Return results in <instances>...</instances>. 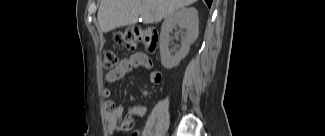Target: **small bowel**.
Instances as JSON below:
<instances>
[{
  "instance_id": "small-bowel-1",
  "label": "small bowel",
  "mask_w": 325,
  "mask_h": 136,
  "mask_svg": "<svg viewBox=\"0 0 325 136\" xmlns=\"http://www.w3.org/2000/svg\"><path fill=\"white\" fill-rule=\"evenodd\" d=\"M142 67L150 71L149 81L153 84H159L162 79L160 71L154 69L152 59L144 52H135L127 58H123L119 65L106 74V80L109 83H115L122 79L126 74L135 68ZM106 95L110 92L105 91ZM107 130L110 134L129 131L134 125V117H143L146 114V108L142 105H135L128 115H125L123 105H117L109 100L105 103Z\"/></svg>"
}]
</instances>
